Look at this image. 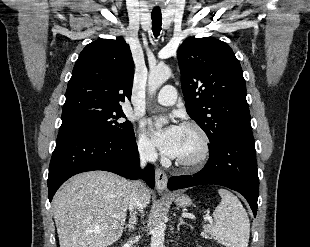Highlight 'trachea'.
<instances>
[{
    "label": "trachea",
    "mask_w": 310,
    "mask_h": 247,
    "mask_svg": "<svg viewBox=\"0 0 310 247\" xmlns=\"http://www.w3.org/2000/svg\"><path fill=\"white\" fill-rule=\"evenodd\" d=\"M152 31L155 37L160 35L161 26H162V15L160 10L152 11Z\"/></svg>",
    "instance_id": "obj_1"
}]
</instances>
